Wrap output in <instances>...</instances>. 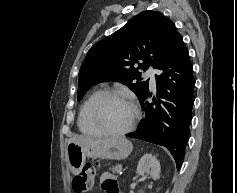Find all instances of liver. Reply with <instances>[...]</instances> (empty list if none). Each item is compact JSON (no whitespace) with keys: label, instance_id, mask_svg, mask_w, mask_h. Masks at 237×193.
<instances>
[{"label":"liver","instance_id":"6515ba94","mask_svg":"<svg viewBox=\"0 0 237 193\" xmlns=\"http://www.w3.org/2000/svg\"><path fill=\"white\" fill-rule=\"evenodd\" d=\"M108 140L109 139L95 140V139L87 137V136H73L69 139L68 144L75 143L78 145H86V146L99 145V144H102Z\"/></svg>","mask_w":237,"mask_h":193}]
</instances>
